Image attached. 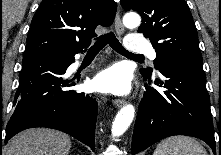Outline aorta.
<instances>
[{
	"label": "aorta",
	"mask_w": 221,
	"mask_h": 155,
	"mask_svg": "<svg viewBox=\"0 0 221 155\" xmlns=\"http://www.w3.org/2000/svg\"><path fill=\"white\" fill-rule=\"evenodd\" d=\"M123 23L128 28L138 27L141 23V18L136 13H128L123 18ZM135 114V108L132 104L123 106L117 113L112 124V135L114 137L122 135L130 126Z\"/></svg>",
	"instance_id": "1"
}]
</instances>
